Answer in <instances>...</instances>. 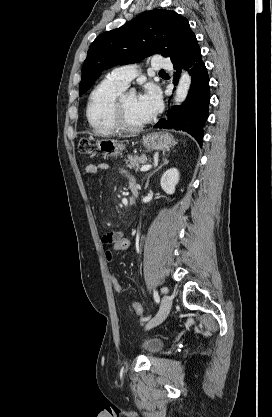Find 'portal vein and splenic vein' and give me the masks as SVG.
<instances>
[{
	"instance_id": "1",
	"label": "portal vein and splenic vein",
	"mask_w": 272,
	"mask_h": 417,
	"mask_svg": "<svg viewBox=\"0 0 272 417\" xmlns=\"http://www.w3.org/2000/svg\"><path fill=\"white\" fill-rule=\"evenodd\" d=\"M151 168H152V165H150V164L144 165L140 168V171L145 172V171H148Z\"/></svg>"
}]
</instances>
